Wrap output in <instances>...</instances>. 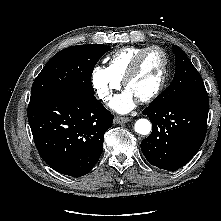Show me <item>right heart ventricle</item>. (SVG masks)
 <instances>
[{
    "instance_id": "right-heart-ventricle-1",
    "label": "right heart ventricle",
    "mask_w": 221,
    "mask_h": 221,
    "mask_svg": "<svg viewBox=\"0 0 221 221\" xmlns=\"http://www.w3.org/2000/svg\"><path fill=\"white\" fill-rule=\"evenodd\" d=\"M145 48L125 47L116 51L109 59L108 69L115 77L122 80L135 56Z\"/></svg>"
}]
</instances>
